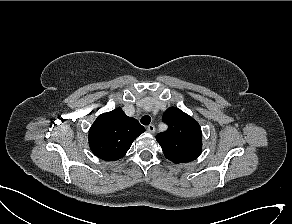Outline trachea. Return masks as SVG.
<instances>
[{
	"mask_svg": "<svg viewBox=\"0 0 292 224\" xmlns=\"http://www.w3.org/2000/svg\"><path fill=\"white\" fill-rule=\"evenodd\" d=\"M150 122H151V117L148 116V115H145V116H143V117L141 118V123H142L143 125H149Z\"/></svg>",
	"mask_w": 292,
	"mask_h": 224,
	"instance_id": "3493384b",
	"label": "trachea"
}]
</instances>
